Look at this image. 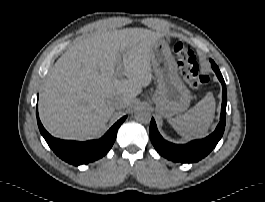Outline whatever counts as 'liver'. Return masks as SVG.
I'll list each match as a JSON object with an SVG mask.
<instances>
[{
    "label": "liver",
    "instance_id": "6515ba94",
    "mask_svg": "<svg viewBox=\"0 0 265 202\" xmlns=\"http://www.w3.org/2000/svg\"><path fill=\"white\" fill-rule=\"evenodd\" d=\"M162 36L144 28H101L77 39L41 89L39 115L47 131L80 141L101 135L115 111L110 98L120 96L126 108L151 83L150 49ZM118 61L126 78H117Z\"/></svg>",
    "mask_w": 265,
    "mask_h": 202
}]
</instances>
